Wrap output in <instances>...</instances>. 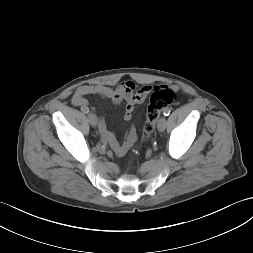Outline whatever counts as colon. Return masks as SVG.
Masks as SVG:
<instances>
[{
	"mask_svg": "<svg viewBox=\"0 0 253 253\" xmlns=\"http://www.w3.org/2000/svg\"><path fill=\"white\" fill-rule=\"evenodd\" d=\"M174 89L167 86L156 87L150 97L147 108L146 122L142 130V141H146L151 136L155 123L163 109L169 107L175 100ZM138 153V147L132 150V156Z\"/></svg>",
	"mask_w": 253,
	"mask_h": 253,
	"instance_id": "5ec220e1",
	"label": "colon"
}]
</instances>
